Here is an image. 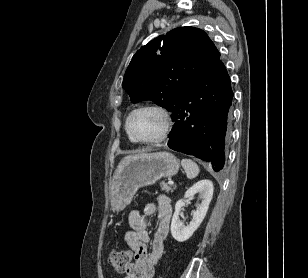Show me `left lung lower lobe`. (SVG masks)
Returning a JSON list of instances; mask_svg holds the SVG:
<instances>
[{"label":"left lung lower lobe","instance_id":"0a47b994","mask_svg":"<svg viewBox=\"0 0 308 278\" xmlns=\"http://www.w3.org/2000/svg\"><path fill=\"white\" fill-rule=\"evenodd\" d=\"M232 99L230 78L219 60L191 84L172 108L174 127L168 146L211 162L216 172L221 170L230 137Z\"/></svg>","mask_w":308,"mask_h":278}]
</instances>
